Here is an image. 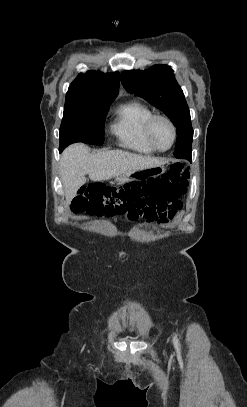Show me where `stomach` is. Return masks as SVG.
<instances>
[{"mask_svg":"<svg viewBox=\"0 0 247 407\" xmlns=\"http://www.w3.org/2000/svg\"><path fill=\"white\" fill-rule=\"evenodd\" d=\"M164 166H138L137 169H130L129 173L117 176L115 182L122 184L134 178H153L154 175H161L165 172Z\"/></svg>","mask_w":247,"mask_h":407,"instance_id":"1","label":"stomach"}]
</instances>
